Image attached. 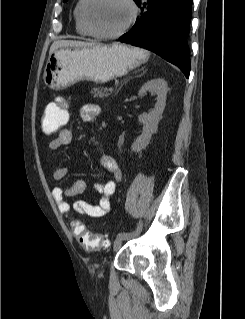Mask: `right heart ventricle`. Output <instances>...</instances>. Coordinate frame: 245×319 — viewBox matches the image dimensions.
Segmentation results:
<instances>
[{
  "mask_svg": "<svg viewBox=\"0 0 245 319\" xmlns=\"http://www.w3.org/2000/svg\"><path fill=\"white\" fill-rule=\"evenodd\" d=\"M84 1L85 0H77L76 5L74 7L73 16L75 21V28L78 34L82 36H90L91 34L88 32L85 25L83 24L82 16H81V10H82Z\"/></svg>",
  "mask_w": 245,
  "mask_h": 319,
  "instance_id": "e07e8e85",
  "label": "right heart ventricle"
}]
</instances>
